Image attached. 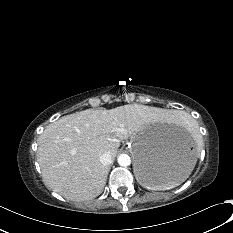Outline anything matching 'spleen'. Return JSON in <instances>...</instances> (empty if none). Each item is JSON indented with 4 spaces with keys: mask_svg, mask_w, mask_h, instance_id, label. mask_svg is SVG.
Listing matches in <instances>:
<instances>
[{
    "mask_svg": "<svg viewBox=\"0 0 233 233\" xmlns=\"http://www.w3.org/2000/svg\"><path fill=\"white\" fill-rule=\"evenodd\" d=\"M175 122L177 125L179 126H182V127H185L187 130H189L191 127H195V123L194 121L188 117V116H180V117H177L175 119ZM187 178V177H186ZM184 181V180H183ZM182 181V182H183ZM182 182H179V183H173V184H169V185H164V186H160V187H157L155 188L156 190H165V189H168V188H173L177 185H179L180 183Z\"/></svg>",
    "mask_w": 233,
    "mask_h": 233,
    "instance_id": "1",
    "label": "spleen"
}]
</instances>
